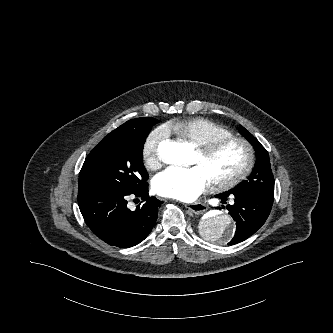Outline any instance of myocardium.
Masks as SVG:
<instances>
[{"instance_id":"myocardium-1","label":"myocardium","mask_w":333,"mask_h":333,"mask_svg":"<svg viewBox=\"0 0 333 333\" xmlns=\"http://www.w3.org/2000/svg\"><path fill=\"white\" fill-rule=\"evenodd\" d=\"M231 143L239 144L243 147L245 152V161L242 168L236 173L226 178L214 179L211 181L212 185L219 189L234 187L246 179L247 176L251 173L255 163V153L253 146L246 139L234 135L221 137L197 146L198 153H200L203 157H209L223 146Z\"/></svg>"}]
</instances>
